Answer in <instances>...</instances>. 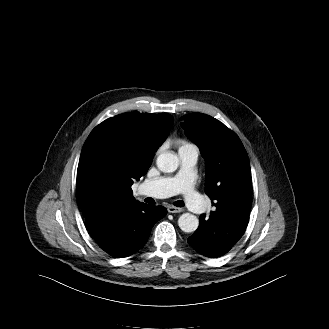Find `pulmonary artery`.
<instances>
[{
    "mask_svg": "<svg viewBox=\"0 0 329 329\" xmlns=\"http://www.w3.org/2000/svg\"><path fill=\"white\" fill-rule=\"evenodd\" d=\"M199 156L197 146L189 144L179 150L181 168L174 176H164L143 183L139 194L154 198L170 197L181 193L186 206L193 213H200L206 208L203 198L195 191V165Z\"/></svg>",
    "mask_w": 329,
    "mask_h": 329,
    "instance_id": "1",
    "label": "pulmonary artery"
}]
</instances>
